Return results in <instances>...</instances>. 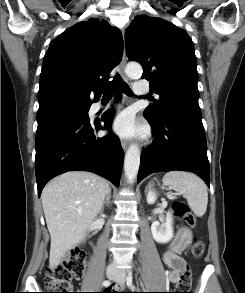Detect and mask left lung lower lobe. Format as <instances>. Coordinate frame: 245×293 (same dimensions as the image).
Masks as SVG:
<instances>
[{"label":"left lung lower lobe","instance_id":"obj_1","mask_svg":"<svg viewBox=\"0 0 245 293\" xmlns=\"http://www.w3.org/2000/svg\"><path fill=\"white\" fill-rule=\"evenodd\" d=\"M153 127L154 144L141 154L138 183L154 172L197 174L210 187L207 144L201 116L183 110L164 111L159 118L144 113Z\"/></svg>","mask_w":245,"mask_h":293}]
</instances>
